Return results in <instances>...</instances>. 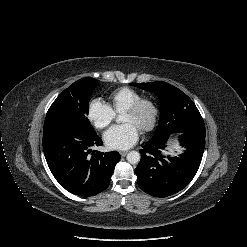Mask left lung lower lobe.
I'll use <instances>...</instances> for the list:
<instances>
[{"label": "left lung lower lobe", "instance_id": "0a47b994", "mask_svg": "<svg viewBox=\"0 0 247 247\" xmlns=\"http://www.w3.org/2000/svg\"><path fill=\"white\" fill-rule=\"evenodd\" d=\"M168 139H151L139 150L141 160L135 169L138 185L154 197L164 198L185 188L195 176L204 152L205 133H179L184 151L178 157L162 153Z\"/></svg>", "mask_w": 247, "mask_h": 247}]
</instances>
